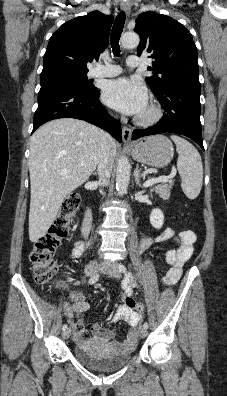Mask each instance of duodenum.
I'll list each match as a JSON object with an SVG mask.
<instances>
[{"label": "duodenum", "mask_w": 227, "mask_h": 396, "mask_svg": "<svg viewBox=\"0 0 227 396\" xmlns=\"http://www.w3.org/2000/svg\"><path fill=\"white\" fill-rule=\"evenodd\" d=\"M91 223H92V214L90 209H87L84 215V220L82 224V233L84 236H87L90 228H91Z\"/></svg>", "instance_id": "1"}]
</instances>
